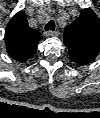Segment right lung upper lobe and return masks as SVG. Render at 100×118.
Segmentation results:
<instances>
[{
	"mask_svg": "<svg viewBox=\"0 0 100 118\" xmlns=\"http://www.w3.org/2000/svg\"><path fill=\"white\" fill-rule=\"evenodd\" d=\"M40 39L42 37L39 32L28 26L23 12L16 13L6 27L7 52L19 62L26 61L36 53V45Z\"/></svg>",
	"mask_w": 100,
	"mask_h": 118,
	"instance_id": "right-lung-upper-lobe-1",
	"label": "right lung upper lobe"
}]
</instances>
